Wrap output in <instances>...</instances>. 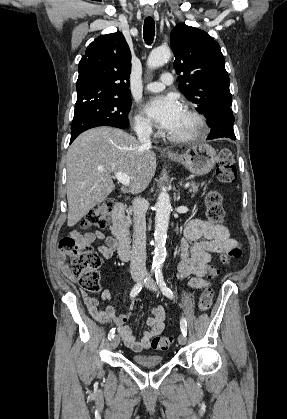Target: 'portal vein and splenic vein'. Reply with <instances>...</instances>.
Listing matches in <instances>:
<instances>
[{"label": "portal vein and splenic vein", "instance_id": "portal-vein-and-splenic-vein-1", "mask_svg": "<svg viewBox=\"0 0 287 419\" xmlns=\"http://www.w3.org/2000/svg\"><path fill=\"white\" fill-rule=\"evenodd\" d=\"M115 178L122 183L124 186H129L130 185V177L127 174L121 173V172H116L114 174ZM190 186V183L187 182L184 185V188H188Z\"/></svg>", "mask_w": 287, "mask_h": 419}]
</instances>
